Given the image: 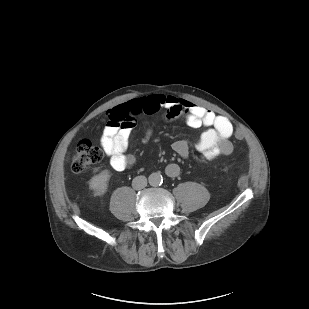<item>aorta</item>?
Here are the masks:
<instances>
[{
  "mask_svg": "<svg viewBox=\"0 0 309 309\" xmlns=\"http://www.w3.org/2000/svg\"><path fill=\"white\" fill-rule=\"evenodd\" d=\"M148 181L151 186H158L162 184L163 178L159 172H154L149 175Z\"/></svg>",
  "mask_w": 309,
  "mask_h": 309,
  "instance_id": "aorta-1",
  "label": "aorta"
}]
</instances>
